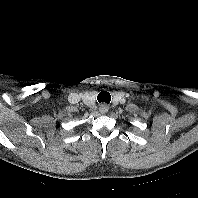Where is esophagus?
<instances>
[{
	"label": "esophagus",
	"mask_w": 198,
	"mask_h": 198,
	"mask_svg": "<svg viewBox=\"0 0 198 198\" xmlns=\"http://www.w3.org/2000/svg\"><path fill=\"white\" fill-rule=\"evenodd\" d=\"M108 109H109V107H108L106 104H102V105H100V107H99V112H100L101 114H105V113L108 112Z\"/></svg>",
	"instance_id": "1"
}]
</instances>
